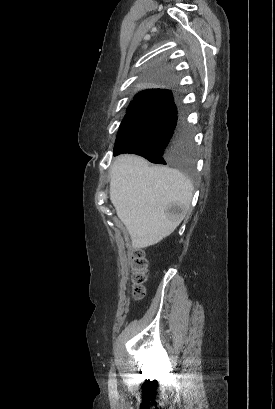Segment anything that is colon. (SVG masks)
I'll return each instance as SVG.
<instances>
[{
    "label": "colon",
    "instance_id": "1",
    "mask_svg": "<svg viewBox=\"0 0 275 409\" xmlns=\"http://www.w3.org/2000/svg\"><path fill=\"white\" fill-rule=\"evenodd\" d=\"M132 256L134 258V275L132 277L134 286L132 289V295L135 299H141L146 293V290L142 287V283L146 280L147 261L142 257V251L139 249H133Z\"/></svg>",
    "mask_w": 275,
    "mask_h": 409
}]
</instances>
